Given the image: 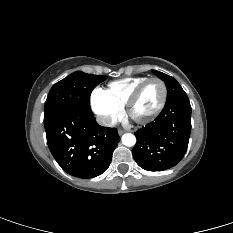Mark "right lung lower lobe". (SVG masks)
Returning <instances> with one entry per match:
<instances>
[{
  "label": "right lung lower lobe",
  "instance_id": "obj_1",
  "mask_svg": "<svg viewBox=\"0 0 233 233\" xmlns=\"http://www.w3.org/2000/svg\"><path fill=\"white\" fill-rule=\"evenodd\" d=\"M48 147L67 173L93 178L104 173L120 137L116 128L100 126L87 106L65 109L44 119Z\"/></svg>",
  "mask_w": 233,
  "mask_h": 233
}]
</instances>
